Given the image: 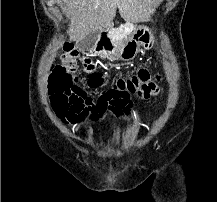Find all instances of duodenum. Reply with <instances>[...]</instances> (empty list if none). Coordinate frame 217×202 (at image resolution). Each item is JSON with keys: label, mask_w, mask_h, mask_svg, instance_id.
Returning <instances> with one entry per match:
<instances>
[{"label": "duodenum", "mask_w": 217, "mask_h": 202, "mask_svg": "<svg viewBox=\"0 0 217 202\" xmlns=\"http://www.w3.org/2000/svg\"><path fill=\"white\" fill-rule=\"evenodd\" d=\"M120 42L119 35L112 29H107L100 32L95 45L89 52L88 57L84 59V65L88 70L94 69V64L91 60L92 56L101 58H113L116 56L118 45Z\"/></svg>", "instance_id": "obj_1"}]
</instances>
